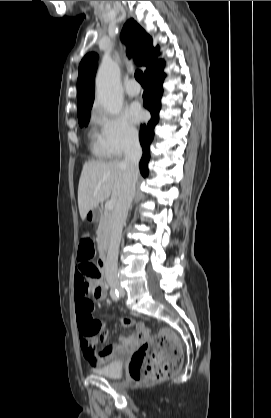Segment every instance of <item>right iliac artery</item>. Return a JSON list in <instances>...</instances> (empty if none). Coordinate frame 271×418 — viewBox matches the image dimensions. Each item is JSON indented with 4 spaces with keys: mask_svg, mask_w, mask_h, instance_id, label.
<instances>
[{
    "mask_svg": "<svg viewBox=\"0 0 271 418\" xmlns=\"http://www.w3.org/2000/svg\"><path fill=\"white\" fill-rule=\"evenodd\" d=\"M110 296L114 301H118L120 298L119 292L114 288L110 290Z\"/></svg>",
    "mask_w": 271,
    "mask_h": 418,
    "instance_id": "right-iliac-artery-1",
    "label": "right iliac artery"
}]
</instances>
